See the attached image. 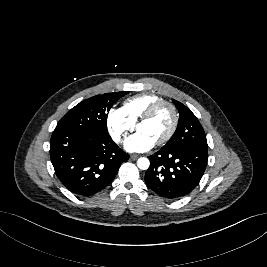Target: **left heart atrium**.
<instances>
[{
	"label": "left heart atrium",
	"instance_id": "1",
	"mask_svg": "<svg viewBox=\"0 0 267 267\" xmlns=\"http://www.w3.org/2000/svg\"><path fill=\"white\" fill-rule=\"evenodd\" d=\"M156 141L147 134L138 131L126 139L124 146L130 152H145L153 148Z\"/></svg>",
	"mask_w": 267,
	"mask_h": 267
}]
</instances>
